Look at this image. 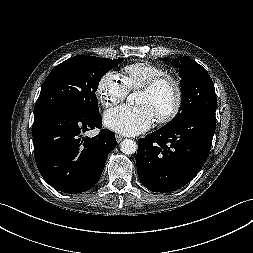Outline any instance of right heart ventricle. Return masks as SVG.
<instances>
[{"mask_svg":"<svg viewBox=\"0 0 253 253\" xmlns=\"http://www.w3.org/2000/svg\"><path fill=\"white\" fill-rule=\"evenodd\" d=\"M165 74L163 67L148 61H141L126 65L122 69L121 78L129 90H135Z\"/></svg>","mask_w":253,"mask_h":253,"instance_id":"obj_1","label":"right heart ventricle"}]
</instances>
